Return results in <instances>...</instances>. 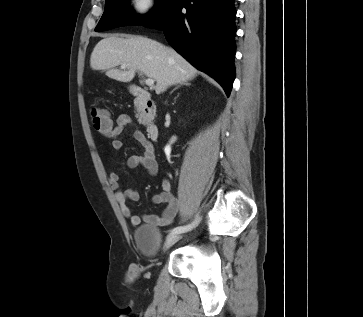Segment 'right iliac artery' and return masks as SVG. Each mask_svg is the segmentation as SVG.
<instances>
[{"label": "right iliac artery", "mask_w": 363, "mask_h": 317, "mask_svg": "<svg viewBox=\"0 0 363 317\" xmlns=\"http://www.w3.org/2000/svg\"><path fill=\"white\" fill-rule=\"evenodd\" d=\"M198 219H196L192 224L186 225V226H178L174 229H172L171 233H182L185 231L191 230L195 225L198 223Z\"/></svg>", "instance_id": "82829eb1"}]
</instances>
